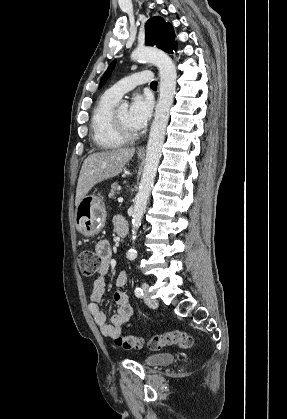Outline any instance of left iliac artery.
I'll return each instance as SVG.
<instances>
[{"label": "left iliac artery", "instance_id": "1", "mask_svg": "<svg viewBox=\"0 0 287 419\" xmlns=\"http://www.w3.org/2000/svg\"><path fill=\"white\" fill-rule=\"evenodd\" d=\"M134 292L136 297L138 298H141L143 296V290L140 287H136Z\"/></svg>", "mask_w": 287, "mask_h": 419}]
</instances>
